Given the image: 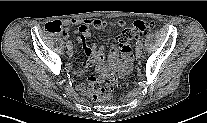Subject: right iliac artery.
Returning <instances> with one entry per match:
<instances>
[{
	"mask_svg": "<svg viewBox=\"0 0 207 123\" xmlns=\"http://www.w3.org/2000/svg\"><path fill=\"white\" fill-rule=\"evenodd\" d=\"M66 46H67V48H69V47L72 46V43H71L70 41H68V42L66 43Z\"/></svg>",
	"mask_w": 207,
	"mask_h": 123,
	"instance_id": "obj_1",
	"label": "right iliac artery"
}]
</instances>
